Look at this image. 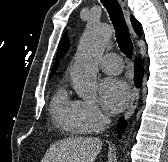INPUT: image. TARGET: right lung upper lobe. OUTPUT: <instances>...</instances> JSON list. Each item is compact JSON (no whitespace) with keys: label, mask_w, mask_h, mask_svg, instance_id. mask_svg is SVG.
Returning <instances> with one entry per match:
<instances>
[{"label":"right lung upper lobe","mask_w":168,"mask_h":162,"mask_svg":"<svg viewBox=\"0 0 168 162\" xmlns=\"http://www.w3.org/2000/svg\"><path fill=\"white\" fill-rule=\"evenodd\" d=\"M131 22H132V25H133L135 32L138 35H141L142 31H141V26H140L139 22L133 16H131ZM68 47H69V42H68V38L65 33L59 43V47H58V51H57V55H56V63L54 64L53 69L51 71V76L56 71V69L58 67V61L60 58H62L64 56Z\"/></svg>","instance_id":"obj_1"}]
</instances>
